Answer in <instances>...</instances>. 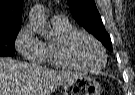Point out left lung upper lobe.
I'll return each instance as SVG.
<instances>
[{
  "mask_svg": "<svg viewBox=\"0 0 135 95\" xmlns=\"http://www.w3.org/2000/svg\"><path fill=\"white\" fill-rule=\"evenodd\" d=\"M72 16L110 51L112 43L106 32L94 0H67Z\"/></svg>",
  "mask_w": 135,
  "mask_h": 95,
  "instance_id": "obj_1",
  "label": "left lung upper lobe"
}]
</instances>
